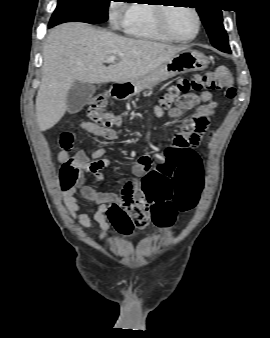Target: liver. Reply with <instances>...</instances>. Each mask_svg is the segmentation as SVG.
Wrapping results in <instances>:
<instances>
[{
    "instance_id": "1",
    "label": "liver",
    "mask_w": 270,
    "mask_h": 338,
    "mask_svg": "<svg viewBox=\"0 0 270 338\" xmlns=\"http://www.w3.org/2000/svg\"><path fill=\"white\" fill-rule=\"evenodd\" d=\"M185 49L121 37L85 23L56 26L43 48L42 80L36 97L39 129L52 128L64 116L68 91L76 81L125 83L155 70ZM110 56L119 61L106 67L104 62Z\"/></svg>"
}]
</instances>
